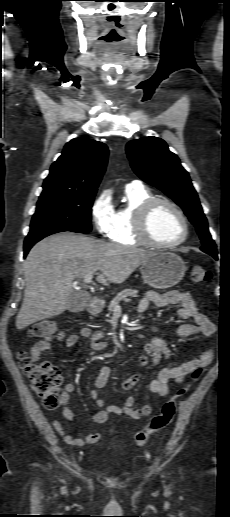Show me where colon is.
Masks as SVG:
<instances>
[{
	"label": "colon",
	"instance_id": "5ec220e1",
	"mask_svg": "<svg viewBox=\"0 0 230 517\" xmlns=\"http://www.w3.org/2000/svg\"><path fill=\"white\" fill-rule=\"evenodd\" d=\"M211 278L210 271L202 266L196 265L191 271V281L194 284H205ZM31 337L43 340H51L60 334L57 324L50 320H42L31 324L28 327ZM21 368L28 379L35 395L42 404L48 408H56L60 402V383L61 373L56 366L47 361L34 360L26 353L18 355ZM203 373V368L199 367L191 373V379L184 386L180 387L174 395L163 405L161 411L154 415L145 428L138 431L135 435V442L139 447H143L149 437L165 427L173 420L177 400L182 397L190 388L191 384L197 381Z\"/></svg>",
	"mask_w": 230,
	"mask_h": 517
}]
</instances>
